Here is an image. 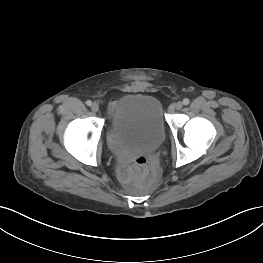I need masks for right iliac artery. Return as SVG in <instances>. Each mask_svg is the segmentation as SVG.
I'll use <instances>...</instances> for the list:
<instances>
[{"label": "right iliac artery", "mask_w": 263, "mask_h": 263, "mask_svg": "<svg viewBox=\"0 0 263 263\" xmlns=\"http://www.w3.org/2000/svg\"><path fill=\"white\" fill-rule=\"evenodd\" d=\"M86 105H87V106H91V105H92V102H91L90 100H87V101H86Z\"/></svg>", "instance_id": "right-iliac-artery-1"}]
</instances>
